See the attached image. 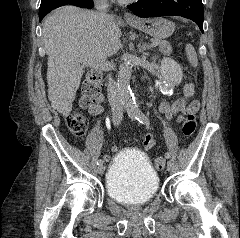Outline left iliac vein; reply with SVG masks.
<instances>
[{
	"label": "left iliac vein",
	"mask_w": 240,
	"mask_h": 238,
	"mask_svg": "<svg viewBox=\"0 0 240 238\" xmlns=\"http://www.w3.org/2000/svg\"><path fill=\"white\" fill-rule=\"evenodd\" d=\"M172 168H173L172 162H171V161H168V163H167V170H168V171H171Z\"/></svg>",
	"instance_id": "obj_1"
}]
</instances>
